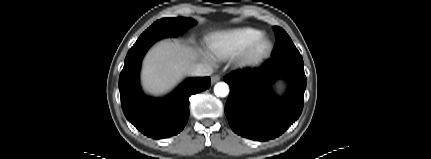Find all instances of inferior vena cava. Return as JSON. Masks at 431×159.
<instances>
[{"mask_svg":"<svg viewBox=\"0 0 431 159\" xmlns=\"http://www.w3.org/2000/svg\"><path fill=\"white\" fill-rule=\"evenodd\" d=\"M213 73V68L206 63H198L192 66L190 74L192 76H210Z\"/></svg>","mask_w":431,"mask_h":159,"instance_id":"602c4592","label":"inferior vena cava"}]
</instances>
